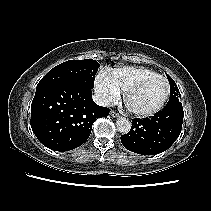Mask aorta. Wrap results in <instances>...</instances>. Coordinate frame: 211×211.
I'll return each mask as SVG.
<instances>
[{
	"mask_svg": "<svg viewBox=\"0 0 211 211\" xmlns=\"http://www.w3.org/2000/svg\"><path fill=\"white\" fill-rule=\"evenodd\" d=\"M116 127L122 134H127L131 129V123L128 119L120 117L116 120Z\"/></svg>",
	"mask_w": 211,
	"mask_h": 211,
	"instance_id": "762f6f07",
	"label": "aorta"
}]
</instances>
